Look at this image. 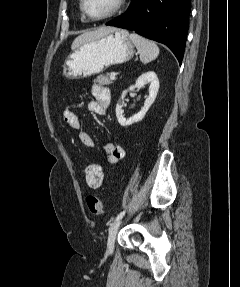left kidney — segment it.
<instances>
[{
    "mask_svg": "<svg viewBox=\"0 0 240 287\" xmlns=\"http://www.w3.org/2000/svg\"><path fill=\"white\" fill-rule=\"evenodd\" d=\"M146 84H149V95L145 100L143 108L135 115H133L130 118H125L123 113L124 110L123 104H124V98L128 91H133L135 88H143ZM159 90V80L155 72L148 71L146 73H143L138 77L136 80L135 85H131L127 90H124L122 92L121 98L118 100L116 105V117L119 122V124L123 127L129 126L133 123L141 121L151 105L154 103L157 93Z\"/></svg>",
    "mask_w": 240,
    "mask_h": 287,
    "instance_id": "5707ae66",
    "label": "left kidney"
}]
</instances>
